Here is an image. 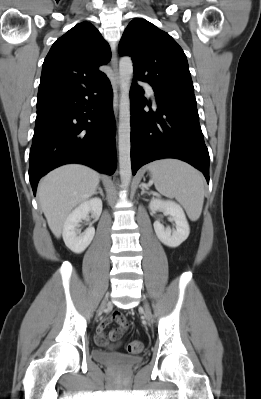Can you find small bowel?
<instances>
[{
	"instance_id": "1",
	"label": "small bowel",
	"mask_w": 261,
	"mask_h": 399,
	"mask_svg": "<svg viewBox=\"0 0 261 399\" xmlns=\"http://www.w3.org/2000/svg\"><path fill=\"white\" fill-rule=\"evenodd\" d=\"M111 322L118 323L119 328L110 330L108 333H106V328ZM127 327L128 323L125 317L120 312H113L111 315L103 319L98 325L95 341L99 346L102 347H115L119 344L121 336Z\"/></svg>"
}]
</instances>
